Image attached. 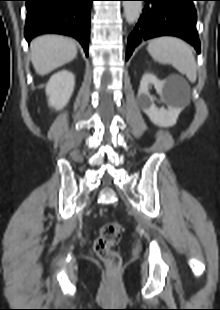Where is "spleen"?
Returning a JSON list of instances; mask_svg holds the SVG:
<instances>
[{"label":"spleen","instance_id":"3e777b00","mask_svg":"<svg viewBox=\"0 0 220 310\" xmlns=\"http://www.w3.org/2000/svg\"><path fill=\"white\" fill-rule=\"evenodd\" d=\"M147 50L155 61L171 64L191 83L197 79L196 62L190 46L175 37H159L150 41Z\"/></svg>","mask_w":220,"mask_h":310}]
</instances>
